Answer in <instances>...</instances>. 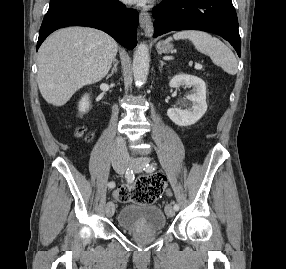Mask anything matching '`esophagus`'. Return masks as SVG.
Segmentation results:
<instances>
[{
	"label": "esophagus",
	"mask_w": 286,
	"mask_h": 269,
	"mask_svg": "<svg viewBox=\"0 0 286 269\" xmlns=\"http://www.w3.org/2000/svg\"><path fill=\"white\" fill-rule=\"evenodd\" d=\"M139 23L146 37H151L154 32L151 15L148 12L142 11L139 15Z\"/></svg>",
	"instance_id": "34e87169"
}]
</instances>
